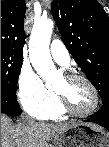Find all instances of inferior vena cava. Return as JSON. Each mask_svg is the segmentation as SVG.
I'll use <instances>...</instances> for the list:
<instances>
[{"label": "inferior vena cava", "mask_w": 109, "mask_h": 147, "mask_svg": "<svg viewBox=\"0 0 109 147\" xmlns=\"http://www.w3.org/2000/svg\"><path fill=\"white\" fill-rule=\"evenodd\" d=\"M21 117H22V122H21L22 124L32 125V124L35 123L34 120L32 118L28 117V116H24L22 114Z\"/></svg>", "instance_id": "602c4592"}]
</instances>
